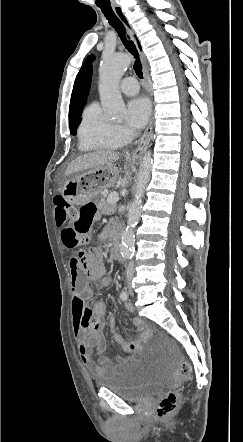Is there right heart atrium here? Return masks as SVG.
I'll return each mask as SVG.
<instances>
[{"mask_svg":"<svg viewBox=\"0 0 243 442\" xmlns=\"http://www.w3.org/2000/svg\"><path fill=\"white\" fill-rule=\"evenodd\" d=\"M114 130L120 140H127L131 136V133L121 125L114 126Z\"/></svg>","mask_w":243,"mask_h":442,"instance_id":"d8ad5b80","label":"right heart atrium"}]
</instances>
